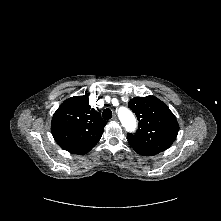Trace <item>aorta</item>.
Wrapping results in <instances>:
<instances>
[{
	"instance_id": "1",
	"label": "aorta",
	"mask_w": 221,
	"mask_h": 221,
	"mask_svg": "<svg viewBox=\"0 0 221 221\" xmlns=\"http://www.w3.org/2000/svg\"><path fill=\"white\" fill-rule=\"evenodd\" d=\"M118 116L122 125L126 129H132L136 126V119L133 113L126 107H121L118 110Z\"/></svg>"
}]
</instances>
